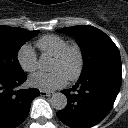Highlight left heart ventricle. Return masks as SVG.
Masks as SVG:
<instances>
[{"label": "left heart ventricle", "instance_id": "b2bd125f", "mask_svg": "<svg viewBox=\"0 0 128 128\" xmlns=\"http://www.w3.org/2000/svg\"><path fill=\"white\" fill-rule=\"evenodd\" d=\"M78 66L77 56L71 54L70 57L64 62H58L53 60L50 70L51 71H61L67 78L72 75Z\"/></svg>", "mask_w": 128, "mask_h": 128}]
</instances>
